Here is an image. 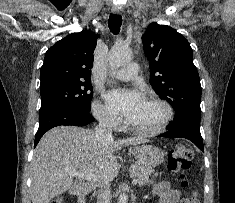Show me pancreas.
<instances>
[{
    "mask_svg": "<svg viewBox=\"0 0 235 203\" xmlns=\"http://www.w3.org/2000/svg\"><path fill=\"white\" fill-rule=\"evenodd\" d=\"M130 173L133 177L137 179V182L139 185H144L148 182L149 176L154 174L155 176L157 173H155L154 169L151 167L142 166L140 164H133L130 167Z\"/></svg>",
    "mask_w": 235,
    "mask_h": 203,
    "instance_id": "cf45deb5",
    "label": "pancreas"
}]
</instances>
